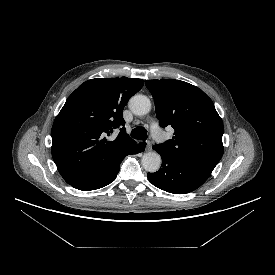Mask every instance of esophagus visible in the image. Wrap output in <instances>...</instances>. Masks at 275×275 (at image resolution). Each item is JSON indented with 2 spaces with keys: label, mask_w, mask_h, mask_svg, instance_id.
I'll return each mask as SVG.
<instances>
[{
  "label": "esophagus",
  "mask_w": 275,
  "mask_h": 275,
  "mask_svg": "<svg viewBox=\"0 0 275 275\" xmlns=\"http://www.w3.org/2000/svg\"><path fill=\"white\" fill-rule=\"evenodd\" d=\"M152 150V145L150 141H146V151H151Z\"/></svg>",
  "instance_id": "1"
}]
</instances>
